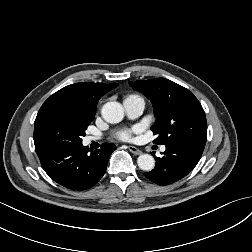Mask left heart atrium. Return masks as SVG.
Wrapping results in <instances>:
<instances>
[{"instance_id": "1", "label": "left heart atrium", "mask_w": 252, "mask_h": 252, "mask_svg": "<svg viewBox=\"0 0 252 252\" xmlns=\"http://www.w3.org/2000/svg\"><path fill=\"white\" fill-rule=\"evenodd\" d=\"M138 132L137 128L133 129H122L116 133V136L124 141H130L132 139V135Z\"/></svg>"}]
</instances>
